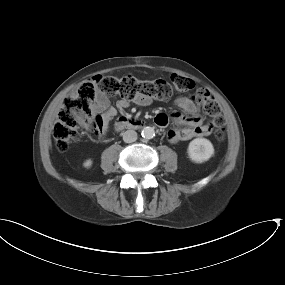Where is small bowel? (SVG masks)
Instances as JSON below:
<instances>
[{
  "label": "small bowel",
  "mask_w": 285,
  "mask_h": 285,
  "mask_svg": "<svg viewBox=\"0 0 285 285\" xmlns=\"http://www.w3.org/2000/svg\"><path fill=\"white\" fill-rule=\"evenodd\" d=\"M75 91H72L73 94ZM133 102L146 106L152 102V99L148 96H140L133 99ZM174 104L187 114L193 115V117H185L178 113H173L172 118L182 125L180 129H171L167 133V138L171 143H177L180 141H187L195 137L205 136L202 131L206 129L202 125L201 119L196 116L199 109L194 101L187 97L178 98ZM130 105V100L120 98L117 100L115 106H113L106 95L101 92H97L95 102L93 105L94 111L100 114L101 118L105 122L111 121L119 111L124 110Z\"/></svg>",
  "instance_id": "obj_1"
}]
</instances>
